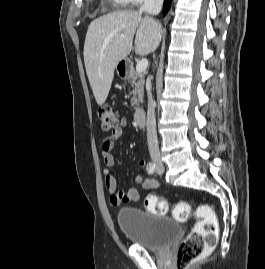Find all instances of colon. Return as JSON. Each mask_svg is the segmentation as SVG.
Instances as JSON below:
<instances>
[{
  "instance_id": "colon-1",
  "label": "colon",
  "mask_w": 265,
  "mask_h": 269,
  "mask_svg": "<svg viewBox=\"0 0 265 269\" xmlns=\"http://www.w3.org/2000/svg\"><path fill=\"white\" fill-rule=\"evenodd\" d=\"M98 117L104 131H114L120 125L119 118L110 107H100ZM144 207L155 214H165L169 210L166 199L153 195L145 198ZM172 212L177 221L185 222L191 216V206L186 201H179L174 205ZM197 215L200 220L179 245L176 260L177 269H187L193 261L200 258L207 249L217 242L218 221L213 210L209 207L199 206Z\"/></svg>"
}]
</instances>
